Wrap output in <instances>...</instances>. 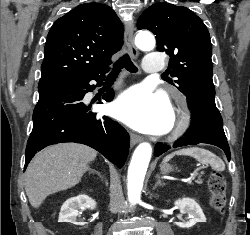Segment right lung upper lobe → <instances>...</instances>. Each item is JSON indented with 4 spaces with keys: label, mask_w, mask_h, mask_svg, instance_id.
Masks as SVG:
<instances>
[{
    "label": "right lung upper lobe",
    "mask_w": 250,
    "mask_h": 235,
    "mask_svg": "<svg viewBox=\"0 0 250 235\" xmlns=\"http://www.w3.org/2000/svg\"><path fill=\"white\" fill-rule=\"evenodd\" d=\"M123 25L105 4L84 3L52 25L38 88L105 72L123 43Z\"/></svg>",
    "instance_id": "1"
}]
</instances>
